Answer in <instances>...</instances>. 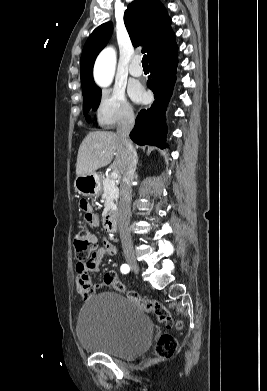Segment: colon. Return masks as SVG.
Returning <instances> with one entry per match:
<instances>
[{
  "mask_svg": "<svg viewBox=\"0 0 267 391\" xmlns=\"http://www.w3.org/2000/svg\"><path fill=\"white\" fill-rule=\"evenodd\" d=\"M99 245V238L86 229L79 230L74 237L75 257L79 263L88 262ZM107 282L110 287L118 292L125 293L126 296L138 304L144 311L152 313L162 323H172V315L170 311L156 300L146 299L139 294L127 291L123 283L119 281L116 274L109 272L107 274ZM177 328L181 327V323L175 324ZM178 347L177 340L174 336L168 333L162 334L156 343V354L161 358H169L174 355Z\"/></svg>",
  "mask_w": 267,
  "mask_h": 391,
  "instance_id": "5ec220e1",
  "label": "colon"
}]
</instances>
